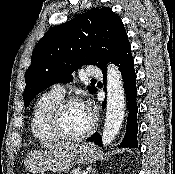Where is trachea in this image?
<instances>
[{"instance_id": "obj_1", "label": "trachea", "mask_w": 175, "mask_h": 174, "mask_svg": "<svg viewBox=\"0 0 175 174\" xmlns=\"http://www.w3.org/2000/svg\"><path fill=\"white\" fill-rule=\"evenodd\" d=\"M92 81H96V79L93 78Z\"/></svg>"}]
</instances>
